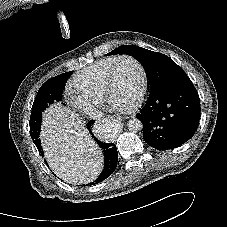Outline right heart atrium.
Returning a JSON list of instances; mask_svg holds the SVG:
<instances>
[{"mask_svg": "<svg viewBox=\"0 0 227 227\" xmlns=\"http://www.w3.org/2000/svg\"><path fill=\"white\" fill-rule=\"evenodd\" d=\"M68 101L73 107L84 113H91L99 105V101L81 95L79 93L69 95Z\"/></svg>", "mask_w": 227, "mask_h": 227, "instance_id": "d8ad5b80", "label": "right heart atrium"}]
</instances>
